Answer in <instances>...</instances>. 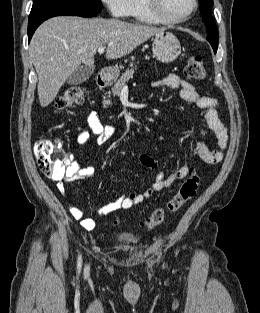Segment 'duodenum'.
Listing matches in <instances>:
<instances>
[{"label": "duodenum", "mask_w": 260, "mask_h": 313, "mask_svg": "<svg viewBox=\"0 0 260 313\" xmlns=\"http://www.w3.org/2000/svg\"><path fill=\"white\" fill-rule=\"evenodd\" d=\"M108 83H109V72L107 69H103L98 74L97 85L103 88L106 87Z\"/></svg>", "instance_id": "duodenum-1"}]
</instances>
